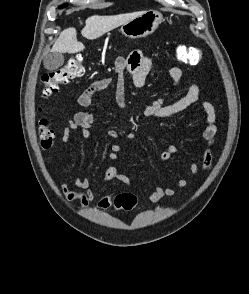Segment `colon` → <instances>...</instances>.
<instances>
[{"instance_id":"obj_1","label":"colon","mask_w":249,"mask_h":294,"mask_svg":"<svg viewBox=\"0 0 249 294\" xmlns=\"http://www.w3.org/2000/svg\"><path fill=\"white\" fill-rule=\"evenodd\" d=\"M177 55L180 62L190 65L199 64L204 57L202 48L188 47L179 45ZM118 61L116 60V63ZM84 74L83 57L77 54L62 67L45 73L41 76L40 82L43 85L42 94L48 97L56 93L60 85L66 84L71 80L80 78ZM39 135L42 148L49 149L55 138V132L48 125L46 118L39 120ZM136 204V197L129 193H122L115 198L114 206L117 209L130 210Z\"/></svg>"}]
</instances>
